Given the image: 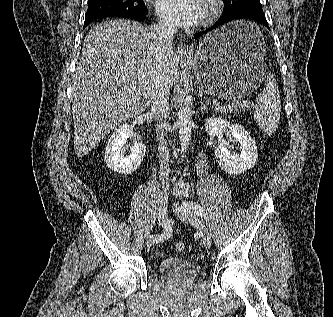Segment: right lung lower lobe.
Listing matches in <instances>:
<instances>
[{
	"mask_svg": "<svg viewBox=\"0 0 333 317\" xmlns=\"http://www.w3.org/2000/svg\"><path fill=\"white\" fill-rule=\"evenodd\" d=\"M147 13V12H146ZM146 13H103L98 15H86L85 16V22L84 27L87 26L90 22H92L95 19H101L106 17H122V18H128L136 21H143L145 18Z\"/></svg>",
	"mask_w": 333,
	"mask_h": 317,
	"instance_id": "obj_1",
	"label": "right lung lower lobe"
}]
</instances>
